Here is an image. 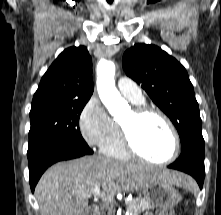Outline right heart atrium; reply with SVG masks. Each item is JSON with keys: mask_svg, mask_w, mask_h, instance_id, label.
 I'll use <instances>...</instances> for the list:
<instances>
[{"mask_svg": "<svg viewBox=\"0 0 221 215\" xmlns=\"http://www.w3.org/2000/svg\"><path fill=\"white\" fill-rule=\"evenodd\" d=\"M79 130L91 146H101L110 138L113 120L96 97H91L83 107L79 117Z\"/></svg>", "mask_w": 221, "mask_h": 215, "instance_id": "1", "label": "right heart atrium"}]
</instances>
